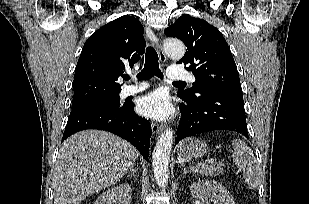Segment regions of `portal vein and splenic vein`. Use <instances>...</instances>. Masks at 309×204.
I'll use <instances>...</instances> for the list:
<instances>
[{"instance_id":"obj_1","label":"portal vein and splenic vein","mask_w":309,"mask_h":204,"mask_svg":"<svg viewBox=\"0 0 309 204\" xmlns=\"http://www.w3.org/2000/svg\"><path fill=\"white\" fill-rule=\"evenodd\" d=\"M195 166H196V165H191V166H190V168H192V169H193Z\"/></svg>"}]
</instances>
